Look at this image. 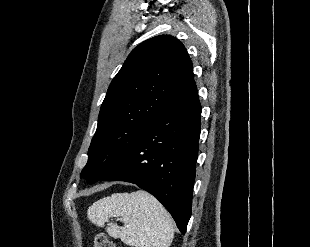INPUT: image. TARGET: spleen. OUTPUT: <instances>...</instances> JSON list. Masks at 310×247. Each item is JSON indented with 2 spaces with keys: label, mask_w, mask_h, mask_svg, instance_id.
<instances>
[{
  "label": "spleen",
  "mask_w": 310,
  "mask_h": 247,
  "mask_svg": "<svg viewBox=\"0 0 310 247\" xmlns=\"http://www.w3.org/2000/svg\"><path fill=\"white\" fill-rule=\"evenodd\" d=\"M87 214L98 227L108 222V234L132 247H169L173 240L170 214L154 196L143 190L104 197L93 203ZM113 216L123 219V229L109 223Z\"/></svg>",
  "instance_id": "1"
}]
</instances>
